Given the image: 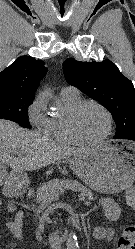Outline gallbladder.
<instances>
[{"label": "gallbladder", "instance_id": "bac80fb5", "mask_svg": "<svg viewBox=\"0 0 135 249\" xmlns=\"http://www.w3.org/2000/svg\"><path fill=\"white\" fill-rule=\"evenodd\" d=\"M6 172V166L0 162V184H1V177Z\"/></svg>", "mask_w": 135, "mask_h": 249}]
</instances>
